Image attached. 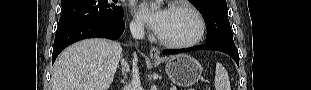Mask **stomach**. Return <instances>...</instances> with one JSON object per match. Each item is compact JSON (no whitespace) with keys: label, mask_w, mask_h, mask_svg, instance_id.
Returning <instances> with one entry per match:
<instances>
[{"label":"stomach","mask_w":311,"mask_h":90,"mask_svg":"<svg viewBox=\"0 0 311 90\" xmlns=\"http://www.w3.org/2000/svg\"><path fill=\"white\" fill-rule=\"evenodd\" d=\"M165 71L171 81L181 87L192 86L202 75L200 63L187 54L167 58Z\"/></svg>","instance_id":"obj_1"}]
</instances>
